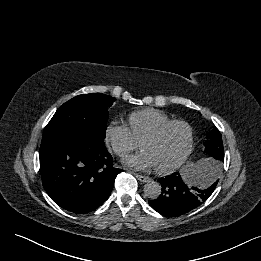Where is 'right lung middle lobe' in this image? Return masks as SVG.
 Returning a JSON list of instances; mask_svg holds the SVG:
<instances>
[{
    "instance_id": "dd1d6c3e",
    "label": "right lung middle lobe",
    "mask_w": 261,
    "mask_h": 261,
    "mask_svg": "<svg viewBox=\"0 0 261 261\" xmlns=\"http://www.w3.org/2000/svg\"><path fill=\"white\" fill-rule=\"evenodd\" d=\"M115 98L99 93L78 95L64 103L44 129L42 141L88 133L104 139L108 108Z\"/></svg>"
}]
</instances>
